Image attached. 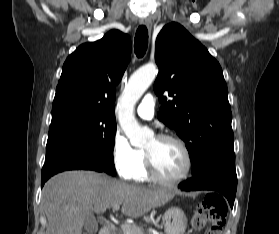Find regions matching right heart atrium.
<instances>
[{
	"instance_id": "right-heart-atrium-1",
	"label": "right heart atrium",
	"mask_w": 279,
	"mask_h": 234,
	"mask_svg": "<svg viewBox=\"0 0 279 234\" xmlns=\"http://www.w3.org/2000/svg\"><path fill=\"white\" fill-rule=\"evenodd\" d=\"M111 157L118 175L124 179H128L136 163L137 150L119 129L115 131L112 138Z\"/></svg>"
}]
</instances>
